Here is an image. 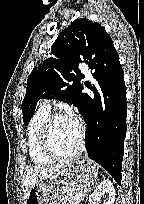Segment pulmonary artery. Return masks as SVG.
I'll list each match as a JSON object with an SVG mask.
<instances>
[{"label": "pulmonary artery", "mask_w": 144, "mask_h": 204, "mask_svg": "<svg viewBox=\"0 0 144 204\" xmlns=\"http://www.w3.org/2000/svg\"><path fill=\"white\" fill-rule=\"evenodd\" d=\"M82 71H83L84 73H86V74L89 73V71H88L86 68L83 69ZM41 106H44V107L50 109V103H49V101H48L47 99H43V100L41 101Z\"/></svg>", "instance_id": "1"}]
</instances>
